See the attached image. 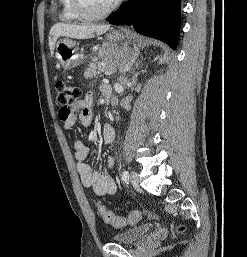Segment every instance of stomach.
<instances>
[{
    "instance_id": "obj_1",
    "label": "stomach",
    "mask_w": 247,
    "mask_h": 257,
    "mask_svg": "<svg viewBox=\"0 0 247 257\" xmlns=\"http://www.w3.org/2000/svg\"><path fill=\"white\" fill-rule=\"evenodd\" d=\"M130 35L123 30H112L106 35V42L99 50L100 58L120 69L128 70L136 62L137 52L129 44ZM77 42L64 38L56 44V58L66 69L74 68L83 61Z\"/></svg>"
}]
</instances>
